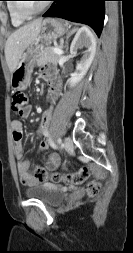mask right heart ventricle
I'll return each instance as SVG.
<instances>
[{"instance_id": "e07e8e85", "label": "right heart ventricle", "mask_w": 133, "mask_h": 253, "mask_svg": "<svg viewBox=\"0 0 133 253\" xmlns=\"http://www.w3.org/2000/svg\"><path fill=\"white\" fill-rule=\"evenodd\" d=\"M7 11H8V14H9V17H10V21H11V24L14 26V27H19L21 26L22 24H24V22L26 21V19H23V18H20L15 10H14V7H13V2L12 1H9L7 3Z\"/></svg>"}]
</instances>
